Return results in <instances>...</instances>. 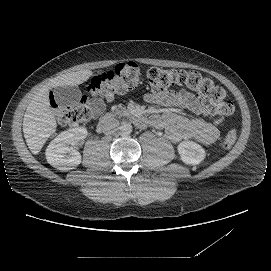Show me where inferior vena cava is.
Here are the masks:
<instances>
[{"instance_id":"obj_1","label":"inferior vena cava","mask_w":271,"mask_h":271,"mask_svg":"<svg viewBox=\"0 0 271 271\" xmlns=\"http://www.w3.org/2000/svg\"><path fill=\"white\" fill-rule=\"evenodd\" d=\"M100 125L104 134L112 135L118 130L120 123L116 118L108 114L102 118Z\"/></svg>"}]
</instances>
